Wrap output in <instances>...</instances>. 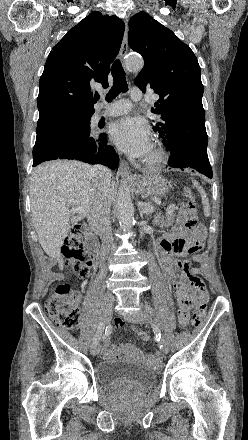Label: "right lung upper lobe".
I'll use <instances>...</instances> for the list:
<instances>
[{"mask_svg": "<svg viewBox=\"0 0 248 440\" xmlns=\"http://www.w3.org/2000/svg\"><path fill=\"white\" fill-rule=\"evenodd\" d=\"M125 24L116 16L92 12L53 47L39 83L37 130L69 118L92 115V85L108 87Z\"/></svg>", "mask_w": 248, "mask_h": 440, "instance_id": "cb5924a9", "label": "right lung upper lobe"}]
</instances>
